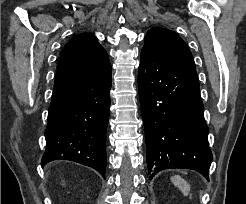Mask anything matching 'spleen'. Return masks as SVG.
Here are the masks:
<instances>
[{
  "label": "spleen",
  "instance_id": "1",
  "mask_svg": "<svg viewBox=\"0 0 246 204\" xmlns=\"http://www.w3.org/2000/svg\"><path fill=\"white\" fill-rule=\"evenodd\" d=\"M171 181L176 187H178L182 191V193L185 196L190 195V198L192 197L190 194V189H191L190 184L186 180H184L181 176L174 175L171 177Z\"/></svg>",
  "mask_w": 246,
  "mask_h": 204
}]
</instances>
